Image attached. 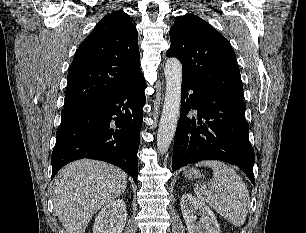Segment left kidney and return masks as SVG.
I'll return each mask as SVG.
<instances>
[{
  "label": "left kidney",
  "instance_id": "obj_1",
  "mask_svg": "<svg viewBox=\"0 0 306 233\" xmlns=\"http://www.w3.org/2000/svg\"><path fill=\"white\" fill-rule=\"evenodd\" d=\"M181 210L188 233H221L214 212L205 202L193 195L189 193L182 195ZM196 211L201 214L199 221Z\"/></svg>",
  "mask_w": 306,
  "mask_h": 233
}]
</instances>
